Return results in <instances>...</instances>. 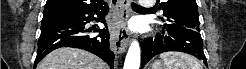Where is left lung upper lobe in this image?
<instances>
[{"label":"left lung upper lobe","mask_w":246,"mask_h":69,"mask_svg":"<svg viewBox=\"0 0 246 69\" xmlns=\"http://www.w3.org/2000/svg\"><path fill=\"white\" fill-rule=\"evenodd\" d=\"M159 0H157V3ZM158 9L163 10L164 28L189 29L200 32L196 0H165Z\"/></svg>","instance_id":"obj_1"}]
</instances>
